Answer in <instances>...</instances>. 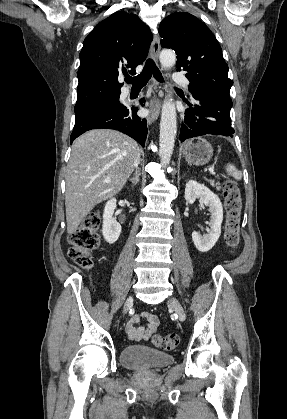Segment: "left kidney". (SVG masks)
I'll use <instances>...</instances> for the list:
<instances>
[{"mask_svg": "<svg viewBox=\"0 0 287 419\" xmlns=\"http://www.w3.org/2000/svg\"><path fill=\"white\" fill-rule=\"evenodd\" d=\"M198 198L209 207L211 213L210 229L203 236L199 232L194 231L192 233V240L200 252H207L212 249L220 237L223 207L219 197L206 186L194 180H189L186 183L185 200L189 204H193Z\"/></svg>", "mask_w": 287, "mask_h": 419, "instance_id": "5707ae66", "label": "left kidney"}]
</instances>
